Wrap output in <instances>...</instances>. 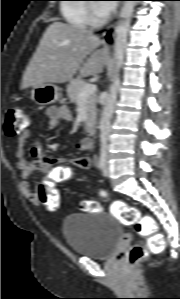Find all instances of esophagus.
<instances>
[{"label":"esophagus","instance_id":"34e87169","mask_svg":"<svg viewBox=\"0 0 180 299\" xmlns=\"http://www.w3.org/2000/svg\"><path fill=\"white\" fill-rule=\"evenodd\" d=\"M116 22L110 25L103 37L104 46L110 50L113 49L115 45V31H116Z\"/></svg>","mask_w":180,"mask_h":299}]
</instances>
